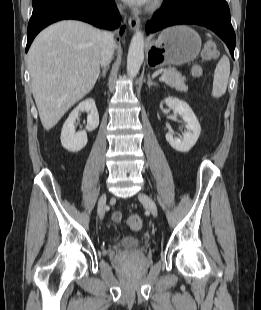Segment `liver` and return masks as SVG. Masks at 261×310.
<instances>
[{
  "mask_svg": "<svg viewBox=\"0 0 261 310\" xmlns=\"http://www.w3.org/2000/svg\"><path fill=\"white\" fill-rule=\"evenodd\" d=\"M104 32L65 20L44 29L28 51L31 89L45 130L94 87L100 73Z\"/></svg>",
  "mask_w": 261,
  "mask_h": 310,
  "instance_id": "liver-1",
  "label": "liver"
}]
</instances>
